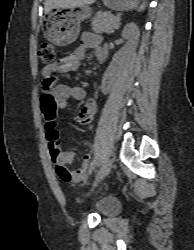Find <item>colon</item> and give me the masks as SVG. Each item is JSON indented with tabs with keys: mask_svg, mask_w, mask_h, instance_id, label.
Returning <instances> with one entry per match:
<instances>
[{
	"mask_svg": "<svg viewBox=\"0 0 194 250\" xmlns=\"http://www.w3.org/2000/svg\"><path fill=\"white\" fill-rule=\"evenodd\" d=\"M39 57H40L41 62L44 64H47L50 66L56 65L57 61H56L55 46L50 43H46L42 45L39 50ZM46 82L51 83L52 78L48 79ZM41 108H42L43 116H54L56 114L57 103L52 94L46 92L42 95ZM56 170L60 177L67 179V180L70 179V176H71L70 171L66 167L62 165H57Z\"/></svg>",
	"mask_w": 194,
	"mask_h": 250,
	"instance_id": "5ec220e1",
	"label": "colon"
}]
</instances>
